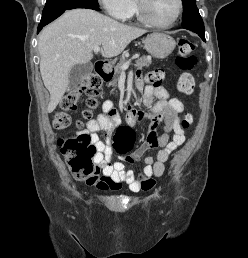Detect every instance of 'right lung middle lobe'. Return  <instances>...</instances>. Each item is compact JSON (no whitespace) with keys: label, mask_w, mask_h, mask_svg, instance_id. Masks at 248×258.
I'll return each instance as SVG.
<instances>
[{"label":"right lung middle lobe","mask_w":248,"mask_h":258,"mask_svg":"<svg viewBox=\"0 0 248 258\" xmlns=\"http://www.w3.org/2000/svg\"><path fill=\"white\" fill-rule=\"evenodd\" d=\"M82 4L99 7L97 0H47L43 9L41 19Z\"/></svg>","instance_id":"obj_1"}]
</instances>
